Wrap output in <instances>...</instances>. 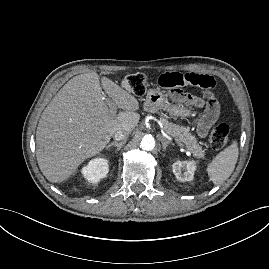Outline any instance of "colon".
I'll return each instance as SVG.
<instances>
[{"label": "colon", "instance_id": "1", "mask_svg": "<svg viewBox=\"0 0 269 269\" xmlns=\"http://www.w3.org/2000/svg\"><path fill=\"white\" fill-rule=\"evenodd\" d=\"M147 82L148 78L145 74L135 73L127 75L124 78L122 87L128 92L141 96L146 92ZM201 97L203 100L209 101L213 104H218L222 100L221 93L210 88L203 89ZM228 136L229 126L227 124L222 123L216 125L209 132V143L214 150L222 149L227 144Z\"/></svg>", "mask_w": 269, "mask_h": 269}]
</instances>
